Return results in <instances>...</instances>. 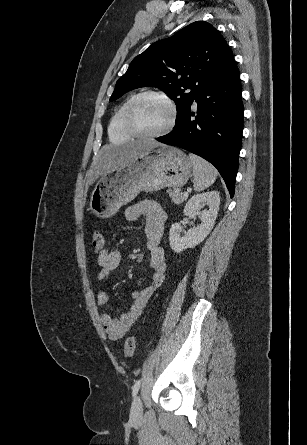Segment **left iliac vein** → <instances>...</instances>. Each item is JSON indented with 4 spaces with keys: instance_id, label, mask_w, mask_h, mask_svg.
Instances as JSON below:
<instances>
[{
    "instance_id": "obj_1",
    "label": "left iliac vein",
    "mask_w": 307,
    "mask_h": 445,
    "mask_svg": "<svg viewBox=\"0 0 307 445\" xmlns=\"http://www.w3.org/2000/svg\"><path fill=\"white\" fill-rule=\"evenodd\" d=\"M143 415L142 401L139 396H136L132 402L130 418L133 421L140 420Z\"/></svg>"
}]
</instances>
